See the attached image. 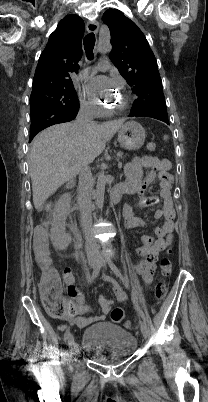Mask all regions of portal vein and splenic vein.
<instances>
[{"label":"portal vein and splenic vein","mask_w":208,"mask_h":402,"mask_svg":"<svg viewBox=\"0 0 208 402\" xmlns=\"http://www.w3.org/2000/svg\"><path fill=\"white\" fill-rule=\"evenodd\" d=\"M116 157H117L118 160H121V159H122V156H121L120 153H117V154H116Z\"/></svg>","instance_id":"18ae733b"}]
</instances>
